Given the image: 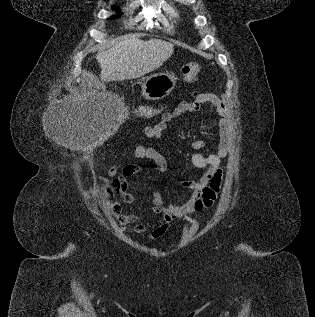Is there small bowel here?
<instances>
[{
	"label": "small bowel",
	"mask_w": 315,
	"mask_h": 317,
	"mask_svg": "<svg viewBox=\"0 0 315 317\" xmlns=\"http://www.w3.org/2000/svg\"><path fill=\"white\" fill-rule=\"evenodd\" d=\"M203 104H210L216 109L221 119L218 123L219 142L214 153L204 155L194 153L190 157L192 165L196 168H205V171L198 181L183 180L180 185L183 189L191 192L189 199L181 204L166 203L157 188L147 197L152 205V213L159 214L157 221L146 222L137 214H125L120 218L123 225L128 229L146 239L157 240L165 235L170 223L178 218L200 211L212 205L220 190L222 170L221 161L231 149V121L226 107L213 95L209 93H196L192 100L183 101L171 112L162 115L161 120L141 130V134L149 139H160L163 132L172 127V122L185 113L197 112ZM192 148L202 149L206 143L195 140L191 143ZM135 157L153 163L159 171L167 169L166 158L156 149L139 144L134 149ZM119 165H113L108 175L114 178L118 173ZM142 172V167L136 164L125 165L122 168L121 176L117 180L118 189L126 202H134L138 196L128 192L127 178Z\"/></svg>",
	"instance_id": "1"
}]
</instances>
